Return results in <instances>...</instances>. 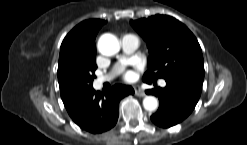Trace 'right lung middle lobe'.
I'll use <instances>...</instances> for the list:
<instances>
[{"mask_svg": "<svg viewBox=\"0 0 247 145\" xmlns=\"http://www.w3.org/2000/svg\"><path fill=\"white\" fill-rule=\"evenodd\" d=\"M96 68L95 59L70 54L59 57L58 81L62 100L93 88Z\"/></svg>", "mask_w": 247, "mask_h": 145, "instance_id": "obj_1", "label": "right lung middle lobe"}]
</instances>
